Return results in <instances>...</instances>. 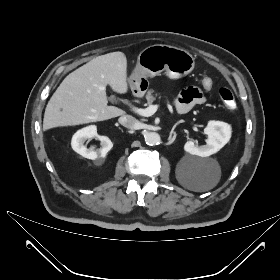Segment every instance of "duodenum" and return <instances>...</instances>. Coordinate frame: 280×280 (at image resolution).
I'll use <instances>...</instances> for the list:
<instances>
[{
  "label": "duodenum",
  "instance_id": "obj_1",
  "mask_svg": "<svg viewBox=\"0 0 280 280\" xmlns=\"http://www.w3.org/2000/svg\"><path fill=\"white\" fill-rule=\"evenodd\" d=\"M134 95H135V97H139L140 96V90L139 89L135 90Z\"/></svg>",
  "mask_w": 280,
  "mask_h": 280
}]
</instances>
